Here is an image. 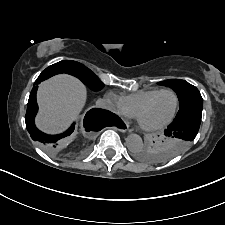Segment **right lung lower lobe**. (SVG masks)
Segmentation results:
<instances>
[{
  "label": "right lung lower lobe",
  "mask_w": 225,
  "mask_h": 225,
  "mask_svg": "<svg viewBox=\"0 0 225 225\" xmlns=\"http://www.w3.org/2000/svg\"><path fill=\"white\" fill-rule=\"evenodd\" d=\"M58 74L55 72H42L37 80L34 83V86L32 88V91L29 96L28 105H27V111H26V128L28 132L31 135V138L34 141H37L41 144V146L47 150L48 152H53L61 138H64L65 136L70 135L74 130V125H72L65 133L59 134V135H47L40 130H38L34 124V118L38 111V106L36 102V92L38 88V84H40L42 81L50 78L51 76ZM118 118L115 114L102 110V109H91L87 112L85 118H84V127L87 131H94L102 129L106 126L107 122Z\"/></svg>",
  "instance_id": "98d812e1"
}]
</instances>
